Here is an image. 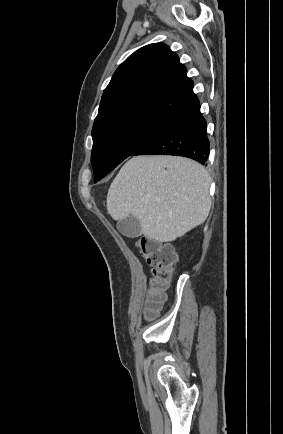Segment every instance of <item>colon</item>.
<instances>
[{
    "label": "colon",
    "mask_w": 283,
    "mask_h": 434,
    "mask_svg": "<svg viewBox=\"0 0 283 434\" xmlns=\"http://www.w3.org/2000/svg\"><path fill=\"white\" fill-rule=\"evenodd\" d=\"M137 247L152 267L149 296L145 308V317L152 318L160 310L165 300V291L169 286L177 258L173 249L157 240L142 238Z\"/></svg>",
    "instance_id": "1"
}]
</instances>
